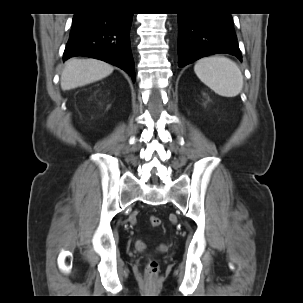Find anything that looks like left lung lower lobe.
<instances>
[{"label": "left lung lower lobe", "mask_w": 303, "mask_h": 303, "mask_svg": "<svg viewBox=\"0 0 303 303\" xmlns=\"http://www.w3.org/2000/svg\"><path fill=\"white\" fill-rule=\"evenodd\" d=\"M178 64L226 53L242 60L229 13L178 14Z\"/></svg>", "instance_id": "left-lung-lower-lobe-1"}]
</instances>
